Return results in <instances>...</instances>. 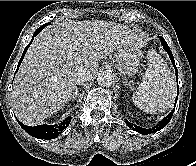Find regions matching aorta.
I'll list each match as a JSON object with an SVG mask.
<instances>
[{
	"mask_svg": "<svg viewBox=\"0 0 196 166\" xmlns=\"http://www.w3.org/2000/svg\"><path fill=\"white\" fill-rule=\"evenodd\" d=\"M97 82L100 86L109 87L114 82V75L111 71H102L98 74Z\"/></svg>",
	"mask_w": 196,
	"mask_h": 166,
	"instance_id": "1",
	"label": "aorta"
}]
</instances>
